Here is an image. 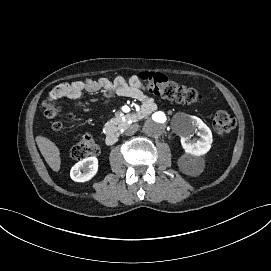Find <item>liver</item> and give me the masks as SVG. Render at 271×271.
I'll list each match as a JSON object with an SVG mask.
<instances>
[{
	"mask_svg": "<svg viewBox=\"0 0 271 271\" xmlns=\"http://www.w3.org/2000/svg\"><path fill=\"white\" fill-rule=\"evenodd\" d=\"M36 143L48 165L54 171H58L60 168L61 161L59 157V151L55 147V145L51 141L42 137L36 138Z\"/></svg>",
	"mask_w": 271,
	"mask_h": 271,
	"instance_id": "6515ba94",
	"label": "liver"
}]
</instances>
